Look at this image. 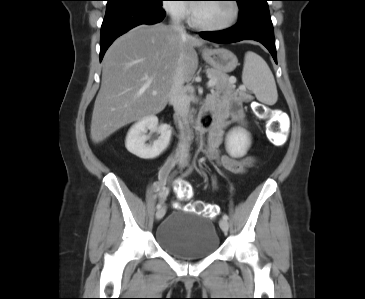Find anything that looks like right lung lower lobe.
I'll list each match as a JSON object with an SVG mask.
<instances>
[{"mask_svg":"<svg viewBox=\"0 0 365 299\" xmlns=\"http://www.w3.org/2000/svg\"><path fill=\"white\" fill-rule=\"evenodd\" d=\"M162 5L128 4L106 10L101 27L100 61L113 41L140 24H155L163 20Z\"/></svg>","mask_w":365,"mask_h":299,"instance_id":"obj_1","label":"right lung lower lobe"}]
</instances>
